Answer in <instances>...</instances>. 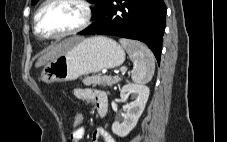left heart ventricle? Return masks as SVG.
<instances>
[{"label":"left heart ventricle","mask_w":227,"mask_h":142,"mask_svg":"<svg viewBox=\"0 0 227 142\" xmlns=\"http://www.w3.org/2000/svg\"><path fill=\"white\" fill-rule=\"evenodd\" d=\"M83 19L81 6L73 1H60L46 6L39 15V30L53 35L77 27Z\"/></svg>","instance_id":"b2bd125f"}]
</instances>
